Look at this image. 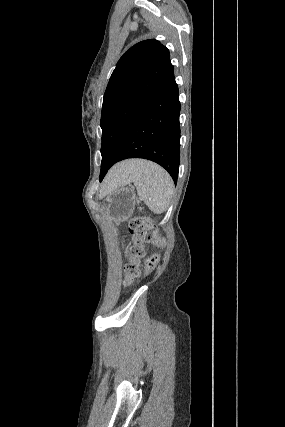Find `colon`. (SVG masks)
I'll return each instance as SVG.
<instances>
[{
    "mask_svg": "<svg viewBox=\"0 0 285 427\" xmlns=\"http://www.w3.org/2000/svg\"><path fill=\"white\" fill-rule=\"evenodd\" d=\"M128 230L135 236L134 244L130 248L133 257L139 258L144 254V245H153L159 249L165 247L164 239L158 234L156 228L150 224L146 217H137L130 220ZM160 261V254L149 256L145 261V272L152 271ZM139 264L136 259L131 260L126 268L125 284L128 285L139 274Z\"/></svg>",
    "mask_w": 285,
    "mask_h": 427,
    "instance_id": "1",
    "label": "colon"
}]
</instances>
